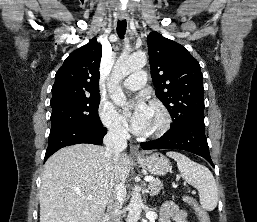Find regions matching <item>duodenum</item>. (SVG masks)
Returning <instances> with one entry per match:
<instances>
[{
	"instance_id": "duodenum-1",
	"label": "duodenum",
	"mask_w": 257,
	"mask_h": 222,
	"mask_svg": "<svg viewBox=\"0 0 257 222\" xmlns=\"http://www.w3.org/2000/svg\"><path fill=\"white\" fill-rule=\"evenodd\" d=\"M98 222H105V218L102 216Z\"/></svg>"
}]
</instances>
